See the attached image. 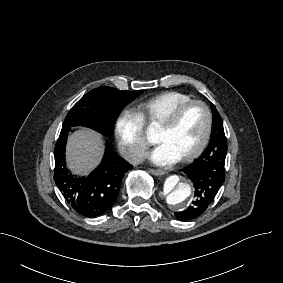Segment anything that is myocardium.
<instances>
[{"label": "myocardium", "instance_id": "myocardium-1", "mask_svg": "<svg viewBox=\"0 0 283 283\" xmlns=\"http://www.w3.org/2000/svg\"><path fill=\"white\" fill-rule=\"evenodd\" d=\"M192 105H198L204 110L206 117L205 133L200 144L194 150L181 156L178 159L180 161L191 160L199 156L207 148L211 137L212 123H213V116L211 109L205 102L197 99H191L171 109L168 112V114L164 118H162L158 123L159 126L163 127L166 130L173 128L176 122L181 117V115Z\"/></svg>", "mask_w": 283, "mask_h": 283}]
</instances>
